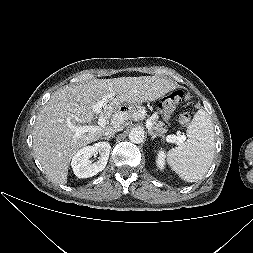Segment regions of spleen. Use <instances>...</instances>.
Instances as JSON below:
<instances>
[{
	"mask_svg": "<svg viewBox=\"0 0 253 253\" xmlns=\"http://www.w3.org/2000/svg\"><path fill=\"white\" fill-rule=\"evenodd\" d=\"M213 123L203 109L196 112L187 129V140L167 153L170 167L187 182H195L207 173L214 157Z\"/></svg>",
	"mask_w": 253,
	"mask_h": 253,
	"instance_id": "3e777b00",
	"label": "spleen"
}]
</instances>
